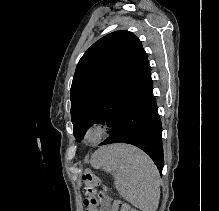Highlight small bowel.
I'll use <instances>...</instances> for the list:
<instances>
[{
    "instance_id": "c3829d8e",
    "label": "small bowel",
    "mask_w": 219,
    "mask_h": 211,
    "mask_svg": "<svg viewBox=\"0 0 219 211\" xmlns=\"http://www.w3.org/2000/svg\"><path fill=\"white\" fill-rule=\"evenodd\" d=\"M98 211H110V202L109 201H104L101 204V208H99Z\"/></svg>"
}]
</instances>
